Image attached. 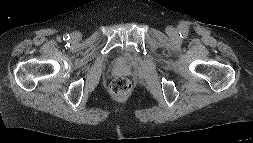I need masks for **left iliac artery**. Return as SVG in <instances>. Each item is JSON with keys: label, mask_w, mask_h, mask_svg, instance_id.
Listing matches in <instances>:
<instances>
[{"label": "left iliac artery", "mask_w": 253, "mask_h": 143, "mask_svg": "<svg viewBox=\"0 0 253 143\" xmlns=\"http://www.w3.org/2000/svg\"><path fill=\"white\" fill-rule=\"evenodd\" d=\"M188 35V30L187 29H184L180 32V37L181 38H186Z\"/></svg>", "instance_id": "1"}]
</instances>
